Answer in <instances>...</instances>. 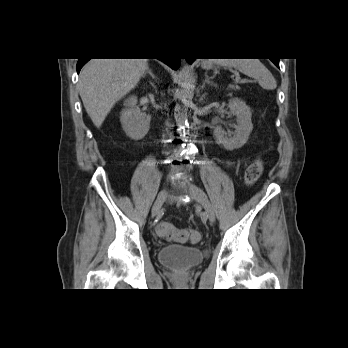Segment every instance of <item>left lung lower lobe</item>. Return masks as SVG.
<instances>
[{"label": "left lung lower lobe", "mask_w": 348, "mask_h": 348, "mask_svg": "<svg viewBox=\"0 0 348 348\" xmlns=\"http://www.w3.org/2000/svg\"><path fill=\"white\" fill-rule=\"evenodd\" d=\"M195 59H187L188 63H192ZM272 62L279 68V59L272 60Z\"/></svg>", "instance_id": "obj_1"}]
</instances>
